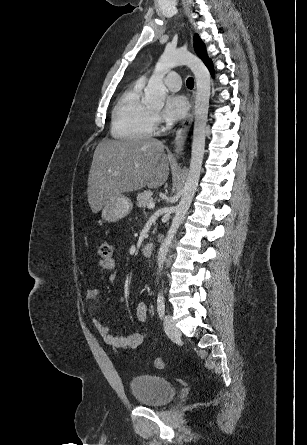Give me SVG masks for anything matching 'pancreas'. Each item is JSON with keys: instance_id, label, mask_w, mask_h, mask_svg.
<instances>
[{"instance_id": "pancreas-1", "label": "pancreas", "mask_w": 307, "mask_h": 445, "mask_svg": "<svg viewBox=\"0 0 307 445\" xmlns=\"http://www.w3.org/2000/svg\"><path fill=\"white\" fill-rule=\"evenodd\" d=\"M152 194V190H144V192H139L137 196V206H146L148 202H153Z\"/></svg>"}]
</instances>
